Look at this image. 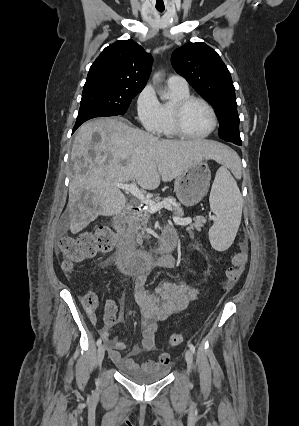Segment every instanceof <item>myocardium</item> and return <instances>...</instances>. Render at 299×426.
Returning <instances> with one entry per match:
<instances>
[{
  "label": "myocardium",
  "mask_w": 299,
  "mask_h": 426,
  "mask_svg": "<svg viewBox=\"0 0 299 426\" xmlns=\"http://www.w3.org/2000/svg\"><path fill=\"white\" fill-rule=\"evenodd\" d=\"M199 102L202 103L210 112L212 116V126L209 131L204 134H192L188 132L184 126L183 117L187 107L193 103ZM172 122L176 133L184 138L188 139H203L210 136L217 128L218 117L213 106L204 98L198 96H187L182 99L177 100L172 108Z\"/></svg>",
  "instance_id": "myocardium-1"
}]
</instances>
